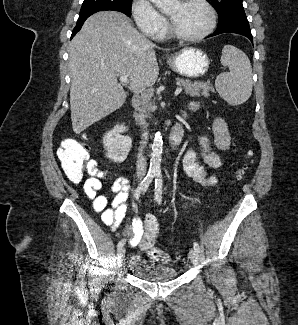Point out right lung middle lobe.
<instances>
[{
	"instance_id": "right-lung-middle-lobe-1",
	"label": "right lung middle lobe",
	"mask_w": 298,
	"mask_h": 325,
	"mask_svg": "<svg viewBox=\"0 0 298 325\" xmlns=\"http://www.w3.org/2000/svg\"><path fill=\"white\" fill-rule=\"evenodd\" d=\"M132 0H84L79 19H87L90 15L103 10L120 11L127 16H131Z\"/></svg>"
}]
</instances>
